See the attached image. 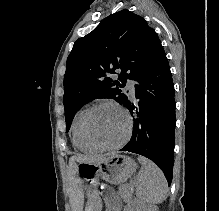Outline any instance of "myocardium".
<instances>
[{
	"label": "myocardium",
	"instance_id": "obj_1",
	"mask_svg": "<svg viewBox=\"0 0 219 211\" xmlns=\"http://www.w3.org/2000/svg\"><path fill=\"white\" fill-rule=\"evenodd\" d=\"M102 106L114 107V108L118 109L126 118V121H127L126 131H125L123 137L117 143H114V144L98 143L97 141H95L91 137V135L89 133L88 124H89L90 116L95 109L102 107ZM132 123H133L132 117H131L130 113L125 108H123L119 104L112 102V101H101V102H97V103L93 104L91 107H89L85 111L83 118H82L81 129H82L83 137L88 144H90L91 146H93L97 149L112 150V149H117V148L121 147L129 140L130 134H131V129H132Z\"/></svg>",
	"mask_w": 219,
	"mask_h": 211
}]
</instances>
